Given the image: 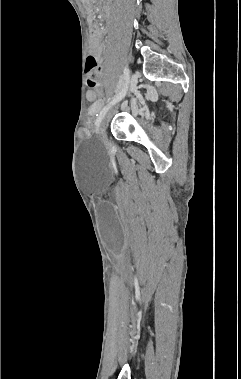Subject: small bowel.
I'll use <instances>...</instances> for the list:
<instances>
[{"instance_id": "1", "label": "small bowel", "mask_w": 241, "mask_h": 379, "mask_svg": "<svg viewBox=\"0 0 241 379\" xmlns=\"http://www.w3.org/2000/svg\"><path fill=\"white\" fill-rule=\"evenodd\" d=\"M102 49H103L102 37H101L97 27L94 26L93 30H92L91 51L97 60H100ZM98 94H99L98 91L93 90V88H90V91L87 92V98L90 101H95L97 107H99L102 103L100 100H97ZM95 112H96V110H93V113H95Z\"/></svg>"}]
</instances>
